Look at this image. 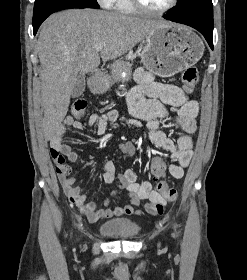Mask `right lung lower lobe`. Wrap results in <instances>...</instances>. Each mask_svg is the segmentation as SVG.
Listing matches in <instances>:
<instances>
[{
    "mask_svg": "<svg viewBox=\"0 0 247 280\" xmlns=\"http://www.w3.org/2000/svg\"><path fill=\"white\" fill-rule=\"evenodd\" d=\"M78 8H85V7H78ZM42 22H43V21H42ZM42 22L33 23L34 34H36V32H37V30H38V28H39V26H40V24H41Z\"/></svg>",
    "mask_w": 247,
    "mask_h": 280,
    "instance_id": "right-lung-lower-lobe-1",
    "label": "right lung lower lobe"
}]
</instances>
